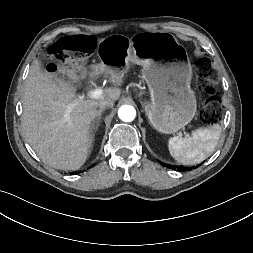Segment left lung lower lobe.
Instances as JSON below:
<instances>
[{
    "mask_svg": "<svg viewBox=\"0 0 253 253\" xmlns=\"http://www.w3.org/2000/svg\"><path fill=\"white\" fill-rule=\"evenodd\" d=\"M161 165H163V166H166V167H167V165H165L164 163H161ZM178 171L182 172V171H185V169H184V168H179V169H178Z\"/></svg>",
    "mask_w": 253,
    "mask_h": 253,
    "instance_id": "0a47b994",
    "label": "left lung lower lobe"
}]
</instances>
